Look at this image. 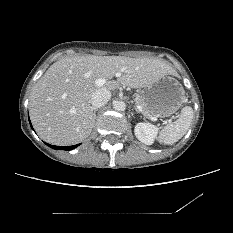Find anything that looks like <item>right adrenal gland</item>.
<instances>
[{"instance_id":"1","label":"right adrenal gland","mask_w":233,"mask_h":233,"mask_svg":"<svg viewBox=\"0 0 233 233\" xmlns=\"http://www.w3.org/2000/svg\"><path fill=\"white\" fill-rule=\"evenodd\" d=\"M98 111V109H94V117L96 118V112Z\"/></svg>"}]
</instances>
